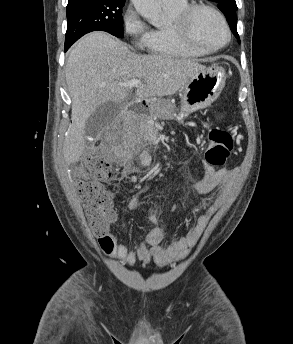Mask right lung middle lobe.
Here are the masks:
<instances>
[{
    "label": "right lung middle lobe",
    "mask_w": 293,
    "mask_h": 344,
    "mask_svg": "<svg viewBox=\"0 0 293 344\" xmlns=\"http://www.w3.org/2000/svg\"><path fill=\"white\" fill-rule=\"evenodd\" d=\"M124 3L125 0H81L68 3L65 51L91 31H105L122 38Z\"/></svg>",
    "instance_id": "obj_1"
}]
</instances>
